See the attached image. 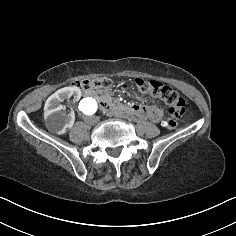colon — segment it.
Segmentation results:
<instances>
[{
	"label": "colon",
	"instance_id": "1",
	"mask_svg": "<svg viewBox=\"0 0 236 236\" xmlns=\"http://www.w3.org/2000/svg\"><path fill=\"white\" fill-rule=\"evenodd\" d=\"M137 88L143 93H150L160 97L168 106L170 117L164 121V126L174 129L177 121L183 116L186 109L185 100L169 86L155 80L136 79ZM81 90L106 88L111 85V79L105 76H93L73 82Z\"/></svg>",
	"mask_w": 236,
	"mask_h": 236
}]
</instances>
